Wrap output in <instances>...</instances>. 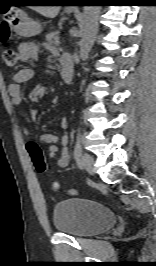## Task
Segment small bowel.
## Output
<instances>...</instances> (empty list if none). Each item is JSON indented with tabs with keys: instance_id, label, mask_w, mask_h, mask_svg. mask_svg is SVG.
Segmentation results:
<instances>
[{
	"instance_id": "1",
	"label": "small bowel",
	"mask_w": 156,
	"mask_h": 266,
	"mask_svg": "<svg viewBox=\"0 0 156 266\" xmlns=\"http://www.w3.org/2000/svg\"><path fill=\"white\" fill-rule=\"evenodd\" d=\"M18 56L21 61L37 60L39 56V49L36 44L32 42H23L18 47ZM66 56H63L64 58ZM34 75L32 69L25 68L15 74L12 78L11 83L8 86V91L11 96L12 104L15 106H20L23 104V94L21 84ZM30 115L32 118L35 117V111L30 110ZM61 127L66 129L68 126V120L62 118ZM23 133L29 135V131L26 127H23ZM38 142L41 144H50L48 148V156L54 158L57 155V165L59 167H66L70 161V154L68 151L69 136L64 133L61 137L52 133H43L39 136ZM60 144L61 148H59Z\"/></svg>"
}]
</instances>
